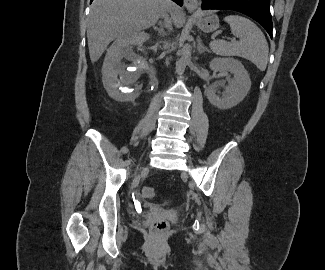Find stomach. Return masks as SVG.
<instances>
[{
  "label": "stomach",
  "mask_w": 325,
  "mask_h": 270,
  "mask_svg": "<svg viewBox=\"0 0 325 270\" xmlns=\"http://www.w3.org/2000/svg\"><path fill=\"white\" fill-rule=\"evenodd\" d=\"M197 25L204 32H213L219 28V18L213 13L198 16Z\"/></svg>",
  "instance_id": "0dacf381"
}]
</instances>
